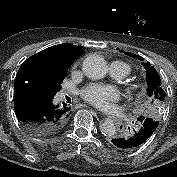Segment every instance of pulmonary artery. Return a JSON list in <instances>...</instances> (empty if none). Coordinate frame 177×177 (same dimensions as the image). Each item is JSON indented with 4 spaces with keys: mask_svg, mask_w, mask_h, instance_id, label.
Returning <instances> with one entry per match:
<instances>
[{
    "mask_svg": "<svg viewBox=\"0 0 177 177\" xmlns=\"http://www.w3.org/2000/svg\"><path fill=\"white\" fill-rule=\"evenodd\" d=\"M130 73L129 67L121 61H115L110 66V75L114 79H123Z\"/></svg>",
    "mask_w": 177,
    "mask_h": 177,
    "instance_id": "pulmonary-artery-1",
    "label": "pulmonary artery"
}]
</instances>
